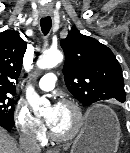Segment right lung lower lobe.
Instances as JSON below:
<instances>
[{"label":"right lung lower lobe","instance_id":"obj_1","mask_svg":"<svg viewBox=\"0 0 130 153\" xmlns=\"http://www.w3.org/2000/svg\"><path fill=\"white\" fill-rule=\"evenodd\" d=\"M14 124L8 123L6 120L0 118V126L5 128L7 131H10L12 129Z\"/></svg>","mask_w":130,"mask_h":153}]
</instances>
